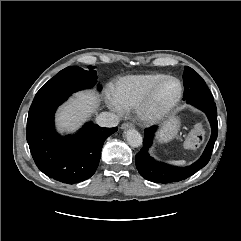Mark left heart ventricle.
Returning a JSON list of instances; mask_svg holds the SVG:
<instances>
[{"mask_svg":"<svg viewBox=\"0 0 241 241\" xmlns=\"http://www.w3.org/2000/svg\"><path fill=\"white\" fill-rule=\"evenodd\" d=\"M178 93V84L173 80L166 81L158 90L154 107L159 108L171 102Z\"/></svg>","mask_w":241,"mask_h":241,"instance_id":"left-heart-ventricle-1","label":"left heart ventricle"}]
</instances>
